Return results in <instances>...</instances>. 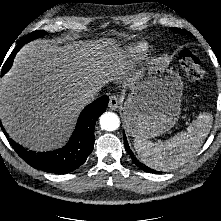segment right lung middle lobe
I'll return each mask as SVG.
<instances>
[{
    "label": "right lung middle lobe",
    "mask_w": 221,
    "mask_h": 221,
    "mask_svg": "<svg viewBox=\"0 0 221 221\" xmlns=\"http://www.w3.org/2000/svg\"><path fill=\"white\" fill-rule=\"evenodd\" d=\"M44 34H45L44 31H35V32L29 34L28 36H26V38H28L29 41H30V40H33L35 38H38L39 36H43Z\"/></svg>",
    "instance_id": "obj_1"
}]
</instances>
